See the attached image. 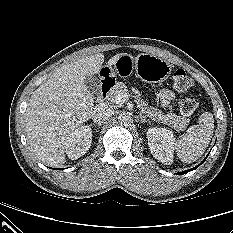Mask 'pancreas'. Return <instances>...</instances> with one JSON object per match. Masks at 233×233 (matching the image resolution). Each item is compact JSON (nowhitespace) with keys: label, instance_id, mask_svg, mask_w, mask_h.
<instances>
[{"label":"pancreas","instance_id":"cf45deb5","mask_svg":"<svg viewBox=\"0 0 233 233\" xmlns=\"http://www.w3.org/2000/svg\"><path fill=\"white\" fill-rule=\"evenodd\" d=\"M127 92V86L122 82H118L110 91L108 101L114 107H119L121 106V104L116 103L117 96L119 94H127ZM145 113L152 120L167 124L168 126L175 128L177 131L184 130L186 128V125L189 123V119H187L186 117L178 116L172 113L164 114L161 110H157L154 107H149L148 109H145Z\"/></svg>","mask_w":233,"mask_h":233}]
</instances>
